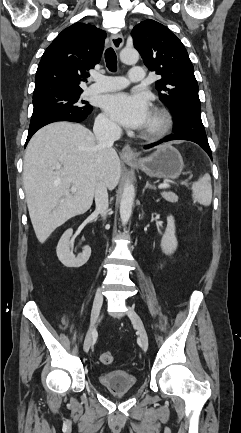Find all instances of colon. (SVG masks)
<instances>
[{
  "instance_id": "colon-1",
  "label": "colon",
  "mask_w": 241,
  "mask_h": 433,
  "mask_svg": "<svg viewBox=\"0 0 241 433\" xmlns=\"http://www.w3.org/2000/svg\"><path fill=\"white\" fill-rule=\"evenodd\" d=\"M100 361L103 364H110L113 362V355L108 351H104L100 355Z\"/></svg>"
}]
</instances>
